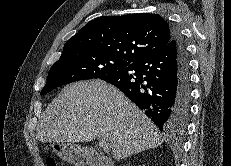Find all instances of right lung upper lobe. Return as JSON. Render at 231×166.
I'll return each mask as SVG.
<instances>
[{
  "label": "right lung upper lobe",
  "instance_id": "right-lung-upper-lobe-1",
  "mask_svg": "<svg viewBox=\"0 0 231 166\" xmlns=\"http://www.w3.org/2000/svg\"><path fill=\"white\" fill-rule=\"evenodd\" d=\"M172 39V27L157 14L99 17L88 22L64 45L61 56L77 52L135 61L154 54Z\"/></svg>",
  "mask_w": 231,
  "mask_h": 166
}]
</instances>
